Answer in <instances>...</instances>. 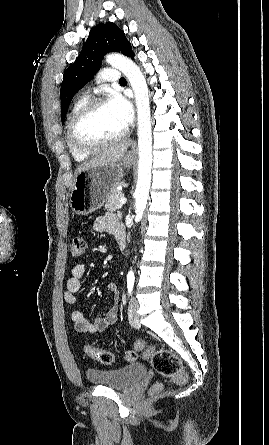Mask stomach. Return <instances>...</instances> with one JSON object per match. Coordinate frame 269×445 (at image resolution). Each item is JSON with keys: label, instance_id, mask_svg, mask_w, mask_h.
<instances>
[{"label": "stomach", "instance_id": "stomach-1", "mask_svg": "<svg viewBox=\"0 0 269 445\" xmlns=\"http://www.w3.org/2000/svg\"><path fill=\"white\" fill-rule=\"evenodd\" d=\"M134 159L127 155L120 163L98 165L76 174L70 194V207L77 215H88L100 209L115 189Z\"/></svg>", "mask_w": 269, "mask_h": 445}]
</instances>
